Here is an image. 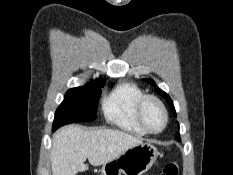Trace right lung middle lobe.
<instances>
[{"label":"right lung middle lobe","instance_id":"dd1d6c3e","mask_svg":"<svg viewBox=\"0 0 233 175\" xmlns=\"http://www.w3.org/2000/svg\"><path fill=\"white\" fill-rule=\"evenodd\" d=\"M104 85L105 81H93L68 90L55 113L52 130L74 122L95 120L97 103Z\"/></svg>","mask_w":233,"mask_h":175}]
</instances>
